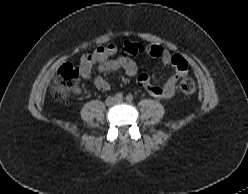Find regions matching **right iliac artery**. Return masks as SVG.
I'll return each mask as SVG.
<instances>
[{
    "instance_id": "right-iliac-artery-1",
    "label": "right iliac artery",
    "mask_w": 248,
    "mask_h": 194,
    "mask_svg": "<svg viewBox=\"0 0 248 194\" xmlns=\"http://www.w3.org/2000/svg\"><path fill=\"white\" fill-rule=\"evenodd\" d=\"M115 99H116V100H122V99H123V94H122V93H117V94L115 95Z\"/></svg>"
}]
</instances>
